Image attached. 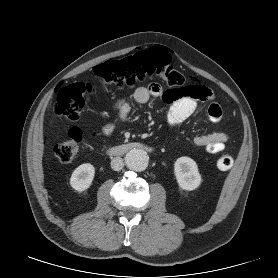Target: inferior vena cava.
I'll return each instance as SVG.
<instances>
[{"label": "inferior vena cava", "instance_id": "inferior-vena-cava-1", "mask_svg": "<svg viewBox=\"0 0 278 278\" xmlns=\"http://www.w3.org/2000/svg\"><path fill=\"white\" fill-rule=\"evenodd\" d=\"M124 167V161L121 157H115L111 161V168L114 171H120Z\"/></svg>", "mask_w": 278, "mask_h": 278}]
</instances>
